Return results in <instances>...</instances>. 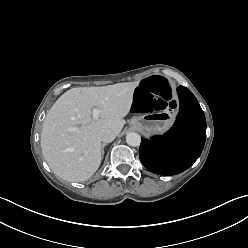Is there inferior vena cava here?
Returning <instances> with one entry per match:
<instances>
[{
  "label": "inferior vena cava",
  "mask_w": 248,
  "mask_h": 248,
  "mask_svg": "<svg viewBox=\"0 0 248 248\" xmlns=\"http://www.w3.org/2000/svg\"><path fill=\"white\" fill-rule=\"evenodd\" d=\"M99 139L100 141L104 142V143H110L112 142L115 137L117 136L116 133L114 131H112L111 129H102L99 132Z\"/></svg>",
  "instance_id": "inferior-vena-cava-1"
}]
</instances>
